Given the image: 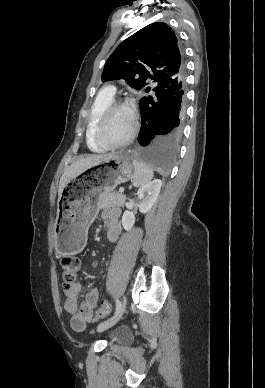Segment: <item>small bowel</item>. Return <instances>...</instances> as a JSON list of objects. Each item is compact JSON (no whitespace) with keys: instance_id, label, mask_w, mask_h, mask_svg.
<instances>
[{"instance_id":"c3829d8e","label":"small bowel","mask_w":265,"mask_h":388,"mask_svg":"<svg viewBox=\"0 0 265 388\" xmlns=\"http://www.w3.org/2000/svg\"><path fill=\"white\" fill-rule=\"evenodd\" d=\"M103 219L107 221V240L117 241L119 237V211L117 209H106L102 213ZM83 285L75 283L65 291L64 309L71 315V326L76 331H83L88 322L94 321V310L98 306L99 295L95 288L89 289L83 302H79Z\"/></svg>"}]
</instances>
